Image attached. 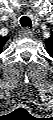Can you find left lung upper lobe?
<instances>
[{
	"label": "left lung upper lobe",
	"instance_id": "1",
	"mask_svg": "<svg viewBox=\"0 0 53 120\" xmlns=\"http://www.w3.org/2000/svg\"><path fill=\"white\" fill-rule=\"evenodd\" d=\"M46 47L48 48V51L51 52V50L53 49V42L51 41V39L46 40Z\"/></svg>",
	"mask_w": 53,
	"mask_h": 120
}]
</instances>
